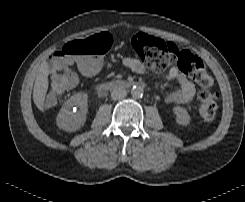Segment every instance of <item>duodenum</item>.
Returning a JSON list of instances; mask_svg holds the SVG:
<instances>
[{
    "instance_id": "1",
    "label": "duodenum",
    "mask_w": 245,
    "mask_h": 202,
    "mask_svg": "<svg viewBox=\"0 0 245 202\" xmlns=\"http://www.w3.org/2000/svg\"><path fill=\"white\" fill-rule=\"evenodd\" d=\"M138 85L136 81H110L97 87L99 92L105 90H128Z\"/></svg>"
}]
</instances>
